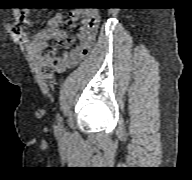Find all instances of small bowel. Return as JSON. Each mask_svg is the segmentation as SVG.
<instances>
[{
    "instance_id": "c3829d8e",
    "label": "small bowel",
    "mask_w": 192,
    "mask_h": 180,
    "mask_svg": "<svg viewBox=\"0 0 192 180\" xmlns=\"http://www.w3.org/2000/svg\"><path fill=\"white\" fill-rule=\"evenodd\" d=\"M21 18L28 21V12L23 10ZM73 21L79 20V25L74 38L69 39L60 28L64 16L57 13L53 16L48 26L37 33L30 43V49L34 54H41L49 40H56L64 48V51H54L49 56H44L43 71L48 77L55 72L64 71L79 63L92 49L98 29L99 15L93 10H75L71 12Z\"/></svg>"
}]
</instances>
